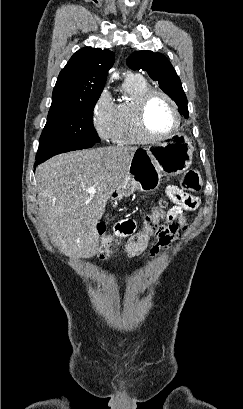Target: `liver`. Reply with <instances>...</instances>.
<instances>
[{
  "instance_id": "1",
  "label": "liver",
  "mask_w": 243,
  "mask_h": 409,
  "mask_svg": "<svg viewBox=\"0 0 243 409\" xmlns=\"http://www.w3.org/2000/svg\"><path fill=\"white\" fill-rule=\"evenodd\" d=\"M137 149L109 146L64 153L37 168L39 213L62 253L80 257L97 247L96 226L129 172ZM90 187L96 189L94 196L87 192Z\"/></svg>"
}]
</instances>
